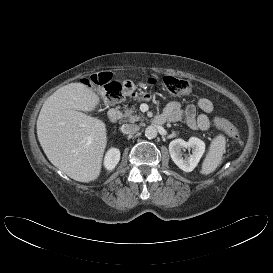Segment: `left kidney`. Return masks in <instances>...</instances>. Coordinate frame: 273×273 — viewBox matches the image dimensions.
<instances>
[{
  "instance_id": "left-kidney-1",
  "label": "left kidney",
  "mask_w": 273,
  "mask_h": 273,
  "mask_svg": "<svg viewBox=\"0 0 273 273\" xmlns=\"http://www.w3.org/2000/svg\"><path fill=\"white\" fill-rule=\"evenodd\" d=\"M183 148H192V154L189 157L183 158ZM204 152L205 143L196 137H191L187 142L183 139H175L169 144V153L173 162L185 172L194 170Z\"/></svg>"
}]
</instances>
